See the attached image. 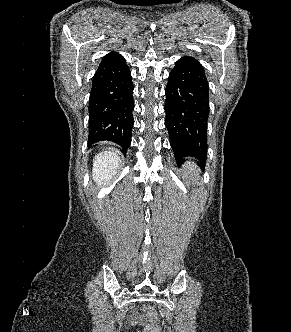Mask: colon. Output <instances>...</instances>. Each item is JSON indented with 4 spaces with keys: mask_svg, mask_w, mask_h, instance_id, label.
<instances>
[{
    "mask_svg": "<svg viewBox=\"0 0 291 332\" xmlns=\"http://www.w3.org/2000/svg\"><path fill=\"white\" fill-rule=\"evenodd\" d=\"M143 321L146 325L145 332H159L158 314L152 307L144 308Z\"/></svg>",
    "mask_w": 291,
    "mask_h": 332,
    "instance_id": "5ec220e1",
    "label": "colon"
}]
</instances>
